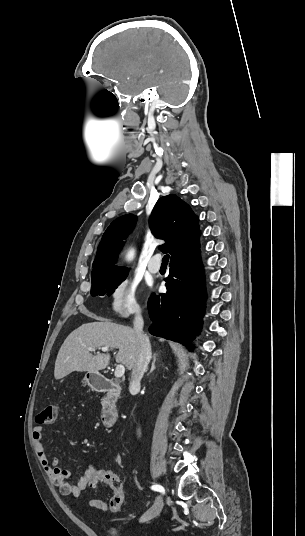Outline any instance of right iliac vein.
<instances>
[{"label":"right iliac vein","mask_w":305,"mask_h":536,"mask_svg":"<svg viewBox=\"0 0 305 536\" xmlns=\"http://www.w3.org/2000/svg\"><path fill=\"white\" fill-rule=\"evenodd\" d=\"M163 505V498L161 496H158L152 507L141 517L140 521L145 522L157 517L161 512Z\"/></svg>","instance_id":"right-iliac-vein-1"}]
</instances>
